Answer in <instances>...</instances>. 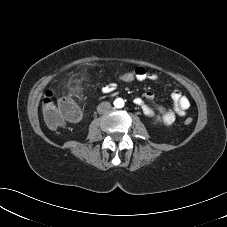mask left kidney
<instances>
[{
  "label": "left kidney",
  "instance_id": "5707ae66",
  "mask_svg": "<svg viewBox=\"0 0 227 227\" xmlns=\"http://www.w3.org/2000/svg\"><path fill=\"white\" fill-rule=\"evenodd\" d=\"M152 124H153L154 126H156V125L158 124L157 120H153V121H152Z\"/></svg>",
  "mask_w": 227,
  "mask_h": 227
}]
</instances>
